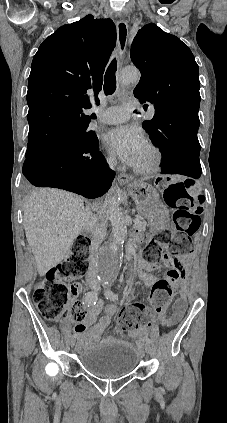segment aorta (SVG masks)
<instances>
[{
    "label": "aorta",
    "mask_w": 227,
    "mask_h": 423,
    "mask_svg": "<svg viewBox=\"0 0 227 423\" xmlns=\"http://www.w3.org/2000/svg\"><path fill=\"white\" fill-rule=\"evenodd\" d=\"M140 79V73L136 68H126L121 73L123 84H134ZM112 195L109 197L108 213L112 225V239L99 249L97 269L103 282L108 283L115 279L121 264V248L127 237V224L119 207L116 188H111Z\"/></svg>",
    "instance_id": "obj_1"
}]
</instances>
